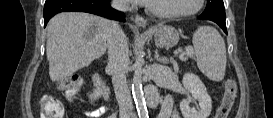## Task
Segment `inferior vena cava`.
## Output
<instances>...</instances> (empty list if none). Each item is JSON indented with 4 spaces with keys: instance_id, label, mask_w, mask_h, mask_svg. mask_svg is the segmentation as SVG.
<instances>
[{
    "instance_id": "602c4592",
    "label": "inferior vena cava",
    "mask_w": 273,
    "mask_h": 118,
    "mask_svg": "<svg viewBox=\"0 0 273 118\" xmlns=\"http://www.w3.org/2000/svg\"><path fill=\"white\" fill-rule=\"evenodd\" d=\"M112 6L121 11H127L126 0H113ZM108 66L112 74L115 96L119 104L121 118H127L133 110L131 94L126 83V69L129 64V49L127 39L117 22H112L107 36Z\"/></svg>"
}]
</instances>
